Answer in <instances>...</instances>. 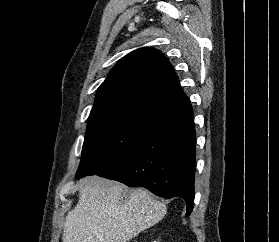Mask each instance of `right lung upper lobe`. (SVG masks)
Returning a JSON list of instances; mask_svg holds the SVG:
<instances>
[{
    "label": "right lung upper lobe",
    "instance_id": "right-lung-upper-lobe-1",
    "mask_svg": "<svg viewBox=\"0 0 279 242\" xmlns=\"http://www.w3.org/2000/svg\"><path fill=\"white\" fill-rule=\"evenodd\" d=\"M162 52L140 48L123 57L99 86L90 115L118 111L162 113L189 104Z\"/></svg>",
    "mask_w": 279,
    "mask_h": 242
}]
</instances>
